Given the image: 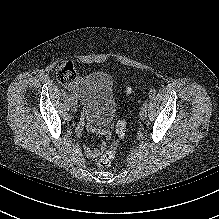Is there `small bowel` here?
<instances>
[{
    "mask_svg": "<svg viewBox=\"0 0 219 219\" xmlns=\"http://www.w3.org/2000/svg\"><path fill=\"white\" fill-rule=\"evenodd\" d=\"M69 89L72 90L74 93H77V85L76 84L70 85ZM89 129L93 132L97 131V128L93 125H90ZM102 134L106 138H108L110 135V133L108 131H104V132H102ZM103 148H104V145H102L99 148H87V149H85V154H86V156H88L90 158H95L100 154V152L103 150Z\"/></svg>",
    "mask_w": 219,
    "mask_h": 219,
    "instance_id": "obj_1",
    "label": "small bowel"
}]
</instances>
